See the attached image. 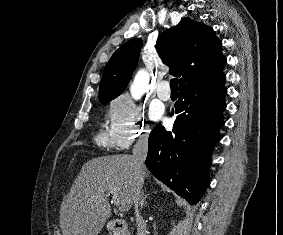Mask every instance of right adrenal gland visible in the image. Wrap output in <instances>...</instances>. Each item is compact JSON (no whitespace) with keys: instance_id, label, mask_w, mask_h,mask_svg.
<instances>
[{"instance_id":"right-adrenal-gland-1","label":"right adrenal gland","mask_w":283,"mask_h":235,"mask_svg":"<svg viewBox=\"0 0 283 235\" xmlns=\"http://www.w3.org/2000/svg\"><path fill=\"white\" fill-rule=\"evenodd\" d=\"M149 194H143V196H142V199H141V202H140V207H141V209L143 208V206H144V203H145V200H146V198H147V196H148Z\"/></svg>"}]
</instances>
